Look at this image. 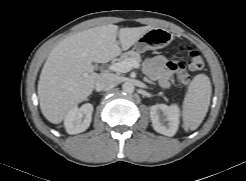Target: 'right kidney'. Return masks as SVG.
Segmentation results:
<instances>
[{
    "label": "right kidney",
    "mask_w": 246,
    "mask_h": 181,
    "mask_svg": "<svg viewBox=\"0 0 246 181\" xmlns=\"http://www.w3.org/2000/svg\"><path fill=\"white\" fill-rule=\"evenodd\" d=\"M93 105L86 103L80 108L74 106L64 118V126L68 134L74 135L84 132L90 126Z\"/></svg>",
    "instance_id": "obj_1"
}]
</instances>
